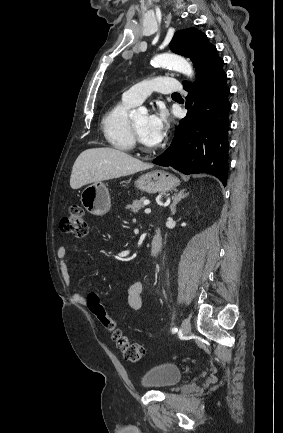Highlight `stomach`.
<instances>
[{
	"instance_id": "obj_1",
	"label": "stomach",
	"mask_w": 283,
	"mask_h": 433,
	"mask_svg": "<svg viewBox=\"0 0 283 433\" xmlns=\"http://www.w3.org/2000/svg\"><path fill=\"white\" fill-rule=\"evenodd\" d=\"M137 188L146 192H167L179 184L178 178L165 170H152L135 180ZM81 202L91 214H105L110 208V194L101 180L88 184L81 192Z\"/></svg>"
}]
</instances>
